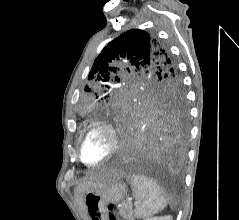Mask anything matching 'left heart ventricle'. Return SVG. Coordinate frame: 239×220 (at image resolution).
<instances>
[{"label": "left heart ventricle", "mask_w": 239, "mask_h": 220, "mask_svg": "<svg viewBox=\"0 0 239 220\" xmlns=\"http://www.w3.org/2000/svg\"><path fill=\"white\" fill-rule=\"evenodd\" d=\"M110 139L108 133L100 128L92 130L84 138L82 145L83 158L88 162H95L103 158L109 150Z\"/></svg>", "instance_id": "1"}]
</instances>
